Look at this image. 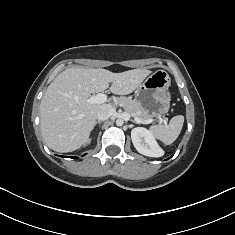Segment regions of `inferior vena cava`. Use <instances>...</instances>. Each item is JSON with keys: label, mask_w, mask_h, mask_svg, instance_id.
Instances as JSON below:
<instances>
[{"label": "inferior vena cava", "mask_w": 235, "mask_h": 235, "mask_svg": "<svg viewBox=\"0 0 235 235\" xmlns=\"http://www.w3.org/2000/svg\"><path fill=\"white\" fill-rule=\"evenodd\" d=\"M113 113L114 109L112 106L104 105L100 107L99 110L97 111V119L99 121L107 120L113 115Z\"/></svg>", "instance_id": "obj_1"}]
</instances>
